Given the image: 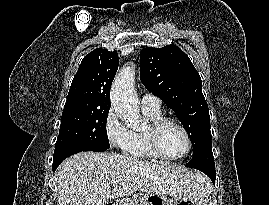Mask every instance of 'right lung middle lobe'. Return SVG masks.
Masks as SVG:
<instances>
[{
  "label": "right lung middle lobe",
  "mask_w": 269,
  "mask_h": 205,
  "mask_svg": "<svg viewBox=\"0 0 269 205\" xmlns=\"http://www.w3.org/2000/svg\"><path fill=\"white\" fill-rule=\"evenodd\" d=\"M110 108L64 107L56 147L65 144L94 145L109 149L106 132Z\"/></svg>",
  "instance_id": "right-lung-middle-lobe-1"
}]
</instances>
